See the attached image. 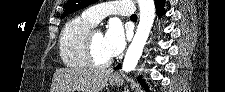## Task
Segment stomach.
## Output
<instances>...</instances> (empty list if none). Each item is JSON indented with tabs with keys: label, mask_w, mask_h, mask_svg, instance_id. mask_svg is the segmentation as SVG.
<instances>
[{
	"label": "stomach",
	"mask_w": 225,
	"mask_h": 92,
	"mask_svg": "<svg viewBox=\"0 0 225 92\" xmlns=\"http://www.w3.org/2000/svg\"><path fill=\"white\" fill-rule=\"evenodd\" d=\"M109 82L112 85H120L122 83V80L120 77L116 74H110L109 75Z\"/></svg>",
	"instance_id": "1"
}]
</instances>
